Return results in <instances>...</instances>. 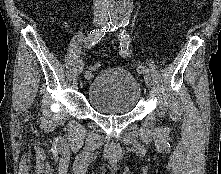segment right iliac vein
<instances>
[{
    "mask_svg": "<svg viewBox=\"0 0 221 174\" xmlns=\"http://www.w3.org/2000/svg\"><path fill=\"white\" fill-rule=\"evenodd\" d=\"M104 24H105V21H104L103 19H101V18H96V19H94V25H95L96 27L102 26V25H104ZM83 68H84V63H83V61L81 60V61L79 62V65H78V73H79V74H81V73L83 72Z\"/></svg>",
    "mask_w": 221,
    "mask_h": 174,
    "instance_id": "63e3f726",
    "label": "right iliac vein"
}]
</instances>
